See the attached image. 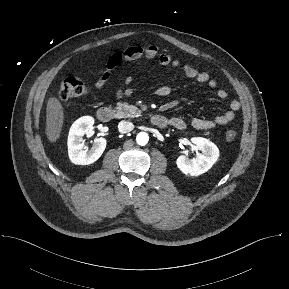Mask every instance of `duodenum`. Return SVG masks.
<instances>
[{
  "label": "duodenum",
  "instance_id": "duodenum-1",
  "mask_svg": "<svg viewBox=\"0 0 289 289\" xmlns=\"http://www.w3.org/2000/svg\"><path fill=\"white\" fill-rule=\"evenodd\" d=\"M116 116V111L112 107L103 106L97 111V118L99 121L103 123H107L111 121ZM150 122L159 127L165 128L169 125V119L163 115L155 114L150 117Z\"/></svg>",
  "mask_w": 289,
  "mask_h": 289
}]
</instances>
